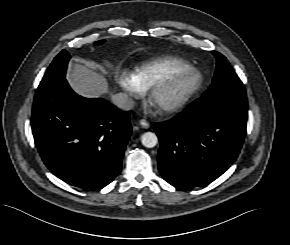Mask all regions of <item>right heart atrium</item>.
Instances as JSON below:
<instances>
[{
	"label": "right heart atrium",
	"instance_id": "obj_1",
	"mask_svg": "<svg viewBox=\"0 0 290 245\" xmlns=\"http://www.w3.org/2000/svg\"><path fill=\"white\" fill-rule=\"evenodd\" d=\"M115 82L117 86L132 100L139 99L143 93L130 72L120 71L115 77Z\"/></svg>",
	"mask_w": 290,
	"mask_h": 245
}]
</instances>
